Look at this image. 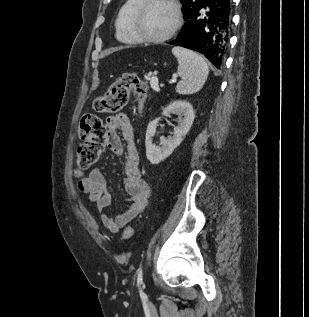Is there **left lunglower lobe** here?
Segmentation results:
<instances>
[{
	"mask_svg": "<svg viewBox=\"0 0 309 317\" xmlns=\"http://www.w3.org/2000/svg\"><path fill=\"white\" fill-rule=\"evenodd\" d=\"M186 23L179 36L169 44L204 54L220 68L229 41L232 18L231 0H203L184 15Z\"/></svg>",
	"mask_w": 309,
	"mask_h": 317,
	"instance_id": "1",
	"label": "left lung lower lobe"
}]
</instances>
